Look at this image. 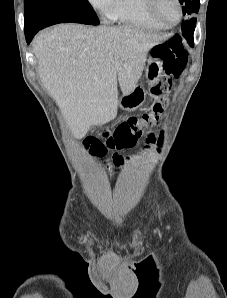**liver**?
Returning a JSON list of instances; mask_svg holds the SVG:
<instances>
[{
  "label": "liver",
  "mask_w": 227,
  "mask_h": 298,
  "mask_svg": "<svg viewBox=\"0 0 227 298\" xmlns=\"http://www.w3.org/2000/svg\"><path fill=\"white\" fill-rule=\"evenodd\" d=\"M170 34L132 27L60 24L33 41L39 77L61 109L74 137L117 116L118 89L137 85L148 51Z\"/></svg>",
  "instance_id": "liver-1"
}]
</instances>
